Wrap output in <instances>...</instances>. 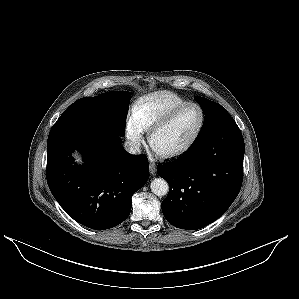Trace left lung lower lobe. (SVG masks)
<instances>
[{
  "instance_id": "0a47b994",
  "label": "left lung lower lobe",
  "mask_w": 299,
  "mask_h": 299,
  "mask_svg": "<svg viewBox=\"0 0 299 299\" xmlns=\"http://www.w3.org/2000/svg\"><path fill=\"white\" fill-rule=\"evenodd\" d=\"M244 152L241 131L230 119L177 160L159 166L158 175L170 186L161 204L166 220L196 230L224 214L241 189Z\"/></svg>"
}]
</instances>
